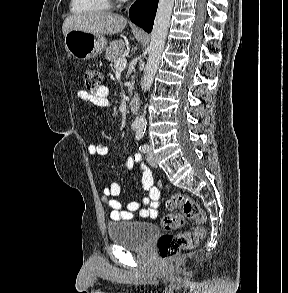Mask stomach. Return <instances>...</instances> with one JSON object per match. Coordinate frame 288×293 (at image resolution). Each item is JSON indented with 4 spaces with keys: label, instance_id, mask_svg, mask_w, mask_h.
<instances>
[{
    "label": "stomach",
    "instance_id": "stomach-1",
    "mask_svg": "<svg viewBox=\"0 0 288 293\" xmlns=\"http://www.w3.org/2000/svg\"><path fill=\"white\" fill-rule=\"evenodd\" d=\"M103 35L93 34L78 29H71L65 36V48L69 55L77 59L94 58L106 48Z\"/></svg>",
    "mask_w": 288,
    "mask_h": 293
}]
</instances>
